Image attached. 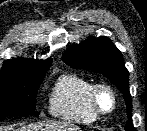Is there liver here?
<instances>
[{
	"label": "liver",
	"instance_id": "1",
	"mask_svg": "<svg viewBox=\"0 0 147 131\" xmlns=\"http://www.w3.org/2000/svg\"><path fill=\"white\" fill-rule=\"evenodd\" d=\"M17 131H80V128L67 122H40L23 126Z\"/></svg>",
	"mask_w": 147,
	"mask_h": 131
}]
</instances>
